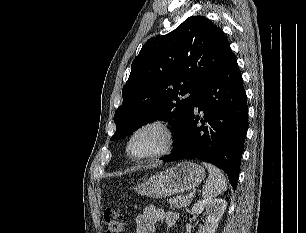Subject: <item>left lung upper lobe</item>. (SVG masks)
<instances>
[{
  "label": "left lung upper lobe",
  "instance_id": "1",
  "mask_svg": "<svg viewBox=\"0 0 306 233\" xmlns=\"http://www.w3.org/2000/svg\"><path fill=\"white\" fill-rule=\"evenodd\" d=\"M230 50L222 30L203 16H191L167 35L148 40L131 65L111 140L158 119L169 121L176 137Z\"/></svg>",
  "mask_w": 306,
  "mask_h": 233
}]
</instances>
